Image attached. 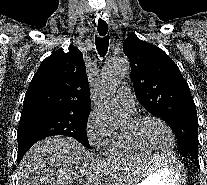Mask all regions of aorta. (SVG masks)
<instances>
[{
  "label": "aorta",
  "mask_w": 207,
  "mask_h": 185,
  "mask_svg": "<svg viewBox=\"0 0 207 185\" xmlns=\"http://www.w3.org/2000/svg\"><path fill=\"white\" fill-rule=\"evenodd\" d=\"M130 63L126 58L116 57L109 60L102 68L98 92V108L109 125L116 130L127 125L129 117L117 103L115 93L125 75Z\"/></svg>",
  "instance_id": "aorta-1"
}]
</instances>
